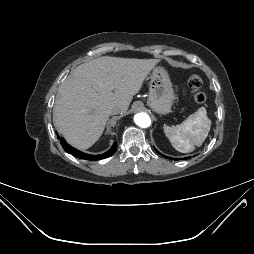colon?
Wrapping results in <instances>:
<instances>
[{"label": "colon", "mask_w": 254, "mask_h": 254, "mask_svg": "<svg viewBox=\"0 0 254 254\" xmlns=\"http://www.w3.org/2000/svg\"><path fill=\"white\" fill-rule=\"evenodd\" d=\"M188 87H189L190 92L192 94L193 100L197 104H203L206 101V96L201 91L202 78L199 75L194 74V75L189 77Z\"/></svg>", "instance_id": "colon-1"}]
</instances>
